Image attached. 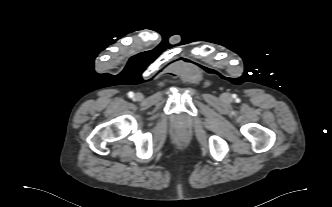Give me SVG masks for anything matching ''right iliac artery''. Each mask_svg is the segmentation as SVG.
Returning a JSON list of instances; mask_svg holds the SVG:
<instances>
[{
  "mask_svg": "<svg viewBox=\"0 0 332 207\" xmlns=\"http://www.w3.org/2000/svg\"><path fill=\"white\" fill-rule=\"evenodd\" d=\"M128 97H129V98H133V97H134V93H133V92H129V93H128Z\"/></svg>",
  "mask_w": 332,
  "mask_h": 207,
  "instance_id": "right-iliac-artery-1",
  "label": "right iliac artery"
}]
</instances>
